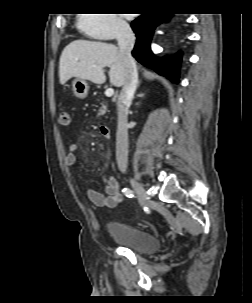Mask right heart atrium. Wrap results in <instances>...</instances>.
Wrapping results in <instances>:
<instances>
[{
  "label": "right heart atrium",
  "mask_w": 252,
  "mask_h": 303,
  "mask_svg": "<svg viewBox=\"0 0 252 303\" xmlns=\"http://www.w3.org/2000/svg\"><path fill=\"white\" fill-rule=\"evenodd\" d=\"M77 23L88 36L103 41L125 36L130 30L119 14H80Z\"/></svg>",
  "instance_id": "obj_1"
}]
</instances>
